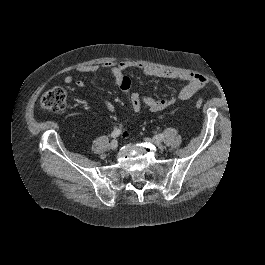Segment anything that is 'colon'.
Returning <instances> with one entry per match:
<instances>
[{"instance_id": "obj_1", "label": "colon", "mask_w": 265, "mask_h": 265, "mask_svg": "<svg viewBox=\"0 0 265 265\" xmlns=\"http://www.w3.org/2000/svg\"><path fill=\"white\" fill-rule=\"evenodd\" d=\"M67 103V94L66 91L61 87H54L46 91L41 99L40 105L42 108L59 112L65 109ZM203 105V101L197 100L195 103L196 108H200Z\"/></svg>"}]
</instances>
